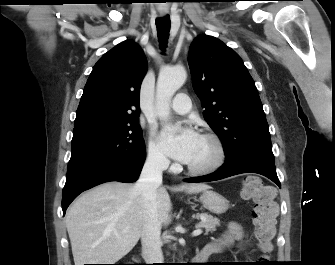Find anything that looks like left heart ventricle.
I'll return each mask as SVG.
<instances>
[{
  "label": "left heart ventricle",
  "instance_id": "left-heart-ventricle-1",
  "mask_svg": "<svg viewBox=\"0 0 335 265\" xmlns=\"http://www.w3.org/2000/svg\"><path fill=\"white\" fill-rule=\"evenodd\" d=\"M216 157L214 143L200 136L191 160L187 163L193 167H204L209 165Z\"/></svg>",
  "mask_w": 335,
  "mask_h": 265
}]
</instances>
